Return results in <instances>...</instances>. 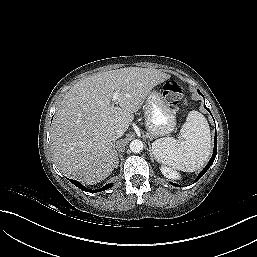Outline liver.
<instances>
[{
    "instance_id": "liver-1",
    "label": "liver",
    "mask_w": 257,
    "mask_h": 257,
    "mask_svg": "<svg viewBox=\"0 0 257 257\" xmlns=\"http://www.w3.org/2000/svg\"><path fill=\"white\" fill-rule=\"evenodd\" d=\"M169 78L157 69L126 67L77 82L61 101L51 131L61 172L88 185L105 179L117 162L113 133L125 132L150 91Z\"/></svg>"
}]
</instances>
